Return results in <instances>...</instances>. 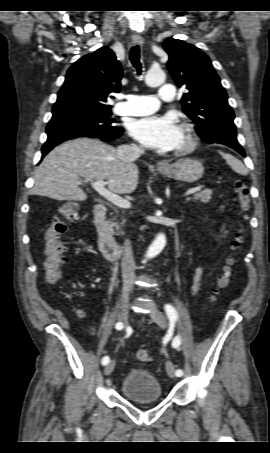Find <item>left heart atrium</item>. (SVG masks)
<instances>
[{"instance_id": "obj_1", "label": "left heart atrium", "mask_w": 270, "mask_h": 453, "mask_svg": "<svg viewBox=\"0 0 270 453\" xmlns=\"http://www.w3.org/2000/svg\"><path fill=\"white\" fill-rule=\"evenodd\" d=\"M130 135L146 147L169 151L178 147L183 130L173 115H153L133 120Z\"/></svg>"}]
</instances>
